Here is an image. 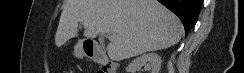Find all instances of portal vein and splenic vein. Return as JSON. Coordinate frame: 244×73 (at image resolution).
Wrapping results in <instances>:
<instances>
[{
    "mask_svg": "<svg viewBox=\"0 0 244 73\" xmlns=\"http://www.w3.org/2000/svg\"><path fill=\"white\" fill-rule=\"evenodd\" d=\"M109 40H113V39H115V35H112V34H109Z\"/></svg>",
    "mask_w": 244,
    "mask_h": 73,
    "instance_id": "portal-vein-and-splenic-vein-1",
    "label": "portal vein and splenic vein"
}]
</instances>
